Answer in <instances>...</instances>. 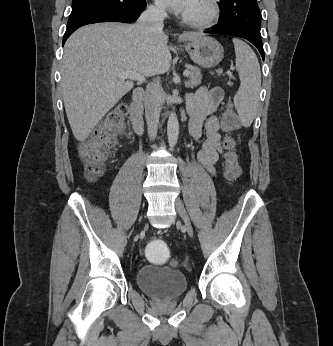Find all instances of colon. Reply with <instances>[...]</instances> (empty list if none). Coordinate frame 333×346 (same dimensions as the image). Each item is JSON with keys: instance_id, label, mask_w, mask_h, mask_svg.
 I'll list each match as a JSON object with an SVG mask.
<instances>
[{"instance_id": "5ec220e1", "label": "colon", "mask_w": 333, "mask_h": 346, "mask_svg": "<svg viewBox=\"0 0 333 346\" xmlns=\"http://www.w3.org/2000/svg\"><path fill=\"white\" fill-rule=\"evenodd\" d=\"M128 113V106L119 104L111 110L104 121L94 131L91 138L79 146V154L83 162L85 172L91 179L98 178L104 171L110 151L116 144V136L123 128V118ZM239 126V118L236 111L229 107L223 115V129L228 133L224 140L226 154L224 157L225 177L234 181L240 176L239 157L235 151L236 142L230 135ZM150 240L149 244H144L145 260L150 264H155L156 268H166L171 253L165 240ZM176 265V262L172 263Z\"/></svg>"}]
</instances>
